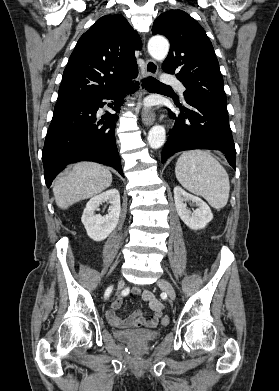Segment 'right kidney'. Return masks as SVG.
Instances as JSON below:
<instances>
[{
    "instance_id": "obj_1",
    "label": "right kidney",
    "mask_w": 279,
    "mask_h": 391,
    "mask_svg": "<svg viewBox=\"0 0 279 391\" xmlns=\"http://www.w3.org/2000/svg\"><path fill=\"white\" fill-rule=\"evenodd\" d=\"M105 202L110 203L108 214L105 216L95 214L98 207ZM120 211V194L117 189L113 188L92 197L86 204L81 218L88 236L94 241L106 239L116 228Z\"/></svg>"
}]
</instances>
